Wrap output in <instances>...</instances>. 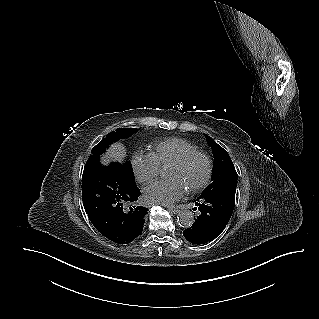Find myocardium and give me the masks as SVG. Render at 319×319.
<instances>
[{"mask_svg":"<svg viewBox=\"0 0 319 319\" xmlns=\"http://www.w3.org/2000/svg\"><path fill=\"white\" fill-rule=\"evenodd\" d=\"M197 157H200V158H202L205 161L206 174H205V177L203 178V180L200 183H198L197 185L189 188V190L191 192H197V191L203 189L204 187H206L208 185V183L211 180L212 173H213V163H212V160L209 157V155L206 154L203 151L195 150V151H191V152H188V153L184 154L179 159L175 160L174 162H172L169 165V166H174V167H182V166L186 165L188 162H190L191 160H193L194 158H197Z\"/></svg>","mask_w":319,"mask_h":319,"instance_id":"f54148a6","label":"myocardium"}]
</instances>
